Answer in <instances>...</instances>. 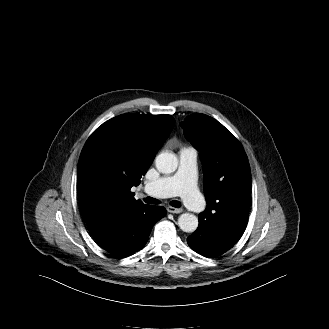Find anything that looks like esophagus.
Segmentation results:
<instances>
[{"instance_id":"1","label":"esophagus","mask_w":329,"mask_h":329,"mask_svg":"<svg viewBox=\"0 0 329 329\" xmlns=\"http://www.w3.org/2000/svg\"><path fill=\"white\" fill-rule=\"evenodd\" d=\"M167 211L170 212V213H176V214H179L183 211L182 208H175V207H172V206H168L167 207Z\"/></svg>"}]
</instances>
